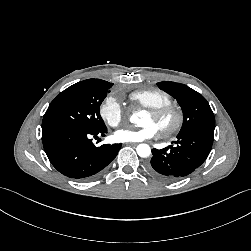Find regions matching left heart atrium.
<instances>
[{
	"mask_svg": "<svg viewBox=\"0 0 251 251\" xmlns=\"http://www.w3.org/2000/svg\"><path fill=\"white\" fill-rule=\"evenodd\" d=\"M158 129L153 124H147L141 128H123L117 130L114 138L118 142H141L155 137Z\"/></svg>",
	"mask_w": 251,
	"mask_h": 251,
	"instance_id": "obj_1",
	"label": "left heart atrium"
}]
</instances>
